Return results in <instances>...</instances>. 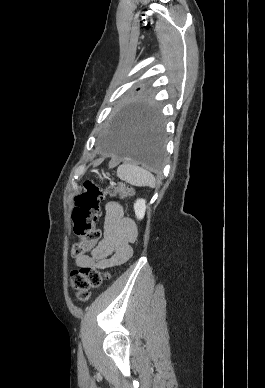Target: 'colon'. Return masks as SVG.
Returning a JSON list of instances; mask_svg holds the SVG:
<instances>
[{
	"mask_svg": "<svg viewBox=\"0 0 265 388\" xmlns=\"http://www.w3.org/2000/svg\"><path fill=\"white\" fill-rule=\"evenodd\" d=\"M133 192L121 184H110L99 187L92 182H86L84 190L75 197V208L72 212L73 232L79 241L72 247L73 257H79L91 250L98 239L100 232L96 228L101 213V202L106 196L128 198ZM108 273L91 267H81L70 274L71 286L79 301L86 302L90 297V290L101 286L108 278Z\"/></svg>",
	"mask_w": 265,
	"mask_h": 388,
	"instance_id": "colon-1",
	"label": "colon"
}]
</instances>
